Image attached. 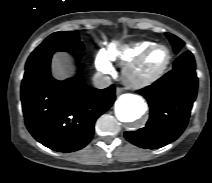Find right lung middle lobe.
<instances>
[{
    "instance_id": "obj_1",
    "label": "right lung middle lobe",
    "mask_w": 212,
    "mask_h": 183,
    "mask_svg": "<svg viewBox=\"0 0 212 183\" xmlns=\"http://www.w3.org/2000/svg\"><path fill=\"white\" fill-rule=\"evenodd\" d=\"M83 48L77 33L71 31L55 32L47 37L32 54L55 51L78 52L82 51Z\"/></svg>"
}]
</instances>
